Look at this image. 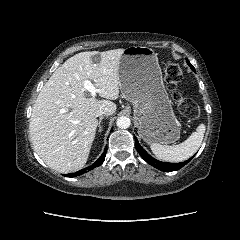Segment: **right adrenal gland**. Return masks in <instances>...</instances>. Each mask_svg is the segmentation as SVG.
<instances>
[{
	"label": "right adrenal gland",
	"instance_id": "1",
	"mask_svg": "<svg viewBox=\"0 0 240 240\" xmlns=\"http://www.w3.org/2000/svg\"><path fill=\"white\" fill-rule=\"evenodd\" d=\"M103 119H104L103 116H101V117L99 118V123H98V127H99V130H98V131H99V132H102V130H103L102 125H101Z\"/></svg>",
	"mask_w": 240,
	"mask_h": 240
}]
</instances>
